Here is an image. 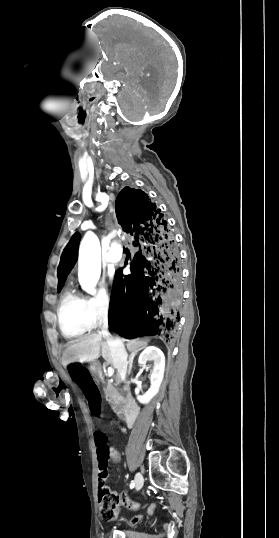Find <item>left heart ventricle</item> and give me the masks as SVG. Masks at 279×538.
Segmentation results:
<instances>
[{
  "mask_svg": "<svg viewBox=\"0 0 279 538\" xmlns=\"http://www.w3.org/2000/svg\"><path fill=\"white\" fill-rule=\"evenodd\" d=\"M84 207H68L70 211H79L82 210ZM75 224V221L70 219V226H73Z\"/></svg>",
  "mask_w": 279,
  "mask_h": 538,
  "instance_id": "b2bd125f",
  "label": "left heart ventricle"
}]
</instances>
